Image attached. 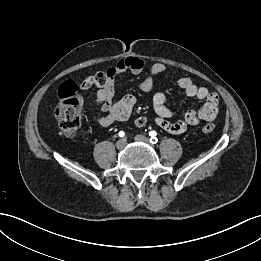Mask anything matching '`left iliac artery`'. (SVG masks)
<instances>
[{"instance_id": "left-iliac-artery-1", "label": "left iliac artery", "mask_w": 261, "mask_h": 261, "mask_svg": "<svg viewBox=\"0 0 261 261\" xmlns=\"http://www.w3.org/2000/svg\"><path fill=\"white\" fill-rule=\"evenodd\" d=\"M156 135H157V133H156L155 131L149 132L150 142H151L152 144H156L157 141H158Z\"/></svg>"}]
</instances>
